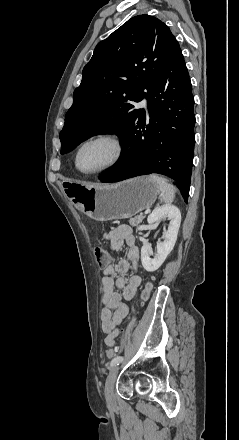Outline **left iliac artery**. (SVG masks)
Returning <instances> with one entry per match:
<instances>
[{"label": "left iliac artery", "mask_w": 239, "mask_h": 440, "mask_svg": "<svg viewBox=\"0 0 239 440\" xmlns=\"http://www.w3.org/2000/svg\"><path fill=\"white\" fill-rule=\"evenodd\" d=\"M123 361V357L122 356H117L115 357L111 362H110V367L119 365V363H121Z\"/></svg>", "instance_id": "44dca946"}]
</instances>
